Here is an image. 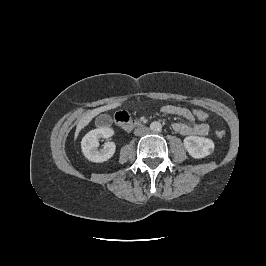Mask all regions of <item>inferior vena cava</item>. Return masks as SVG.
<instances>
[{"instance_id": "1", "label": "inferior vena cava", "mask_w": 266, "mask_h": 266, "mask_svg": "<svg viewBox=\"0 0 266 266\" xmlns=\"http://www.w3.org/2000/svg\"><path fill=\"white\" fill-rule=\"evenodd\" d=\"M149 129L147 127H140L138 129L135 130V135H143V134H146L148 133Z\"/></svg>"}]
</instances>
